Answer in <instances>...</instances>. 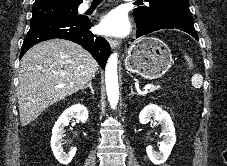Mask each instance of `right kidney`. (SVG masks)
I'll use <instances>...</instances> for the list:
<instances>
[{
	"instance_id": "obj_1",
	"label": "right kidney",
	"mask_w": 227,
	"mask_h": 166,
	"mask_svg": "<svg viewBox=\"0 0 227 166\" xmlns=\"http://www.w3.org/2000/svg\"><path fill=\"white\" fill-rule=\"evenodd\" d=\"M72 118H75L83 123L86 122L88 119L87 108L80 104L71 106L62 113L52 129L51 149L55 158L63 165L70 163L76 153L75 147L68 153H65L62 148L65 127L68 126L69 121Z\"/></svg>"
}]
</instances>
